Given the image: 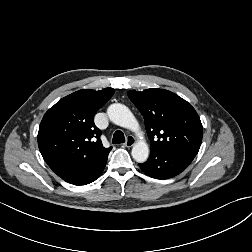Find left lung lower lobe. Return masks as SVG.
<instances>
[{
  "mask_svg": "<svg viewBox=\"0 0 252 252\" xmlns=\"http://www.w3.org/2000/svg\"><path fill=\"white\" fill-rule=\"evenodd\" d=\"M193 159L194 156L180 152L155 153L139 166L150 177L168 179L184 171Z\"/></svg>",
  "mask_w": 252,
  "mask_h": 252,
  "instance_id": "1",
  "label": "left lung lower lobe"
}]
</instances>
